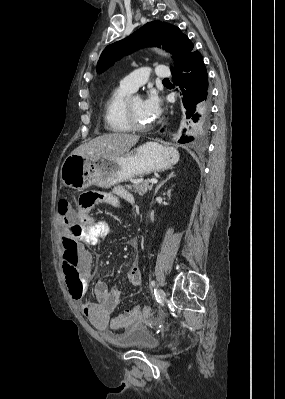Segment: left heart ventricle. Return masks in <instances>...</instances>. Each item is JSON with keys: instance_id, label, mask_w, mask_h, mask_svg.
<instances>
[{"instance_id": "left-heart-ventricle-1", "label": "left heart ventricle", "mask_w": 285, "mask_h": 399, "mask_svg": "<svg viewBox=\"0 0 285 399\" xmlns=\"http://www.w3.org/2000/svg\"><path fill=\"white\" fill-rule=\"evenodd\" d=\"M130 106L131 110L133 112L135 120L139 124H148L150 121L147 119V117L144 115L143 110H142V101L140 99H133L130 101Z\"/></svg>"}]
</instances>
